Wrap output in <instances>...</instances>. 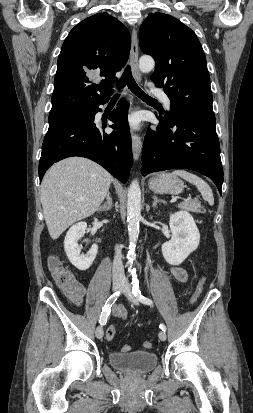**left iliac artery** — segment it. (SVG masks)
Masks as SVG:
<instances>
[{
	"instance_id": "obj_1",
	"label": "left iliac artery",
	"mask_w": 253,
	"mask_h": 413,
	"mask_svg": "<svg viewBox=\"0 0 253 413\" xmlns=\"http://www.w3.org/2000/svg\"><path fill=\"white\" fill-rule=\"evenodd\" d=\"M132 293L134 296L143 304L145 305H153V301L144 295H142L140 288H139V281L137 279L136 273H133L132 275ZM160 328L165 331L166 326L164 324H160Z\"/></svg>"
}]
</instances>
